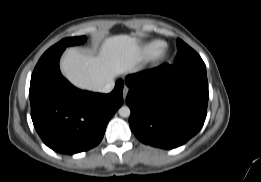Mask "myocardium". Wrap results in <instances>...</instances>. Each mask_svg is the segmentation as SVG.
Listing matches in <instances>:
<instances>
[{"mask_svg": "<svg viewBox=\"0 0 261 182\" xmlns=\"http://www.w3.org/2000/svg\"><path fill=\"white\" fill-rule=\"evenodd\" d=\"M168 49L167 48H164L161 53L157 56V59L158 60H164L167 56H168Z\"/></svg>", "mask_w": 261, "mask_h": 182, "instance_id": "myocardium-1", "label": "myocardium"}]
</instances>
